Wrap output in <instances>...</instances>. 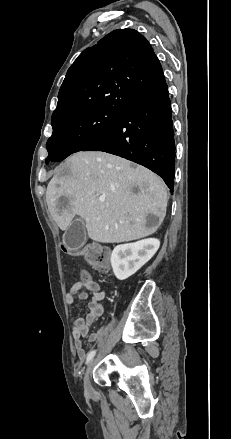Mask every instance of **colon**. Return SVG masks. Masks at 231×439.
<instances>
[{
    "mask_svg": "<svg viewBox=\"0 0 231 439\" xmlns=\"http://www.w3.org/2000/svg\"><path fill=\"white\" fill-rule=\"evenodd\" d=\"M63 249L66 251L64 246ZM81 254L96 270L104 272L109 268V252L106 248L95 243L87 244L81 248ZM83 278L87 279L88 275L84 273Z\"/></svg>",
    "mask_w": 231,
    "mask_h": 439,
    "instance_id": "colon-1",
    "label": "colon"
}]
</instances>
